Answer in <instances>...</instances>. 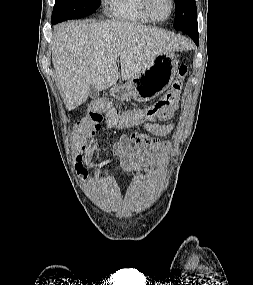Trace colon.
<instances>
[{"instance_id": "colon-1", "label": "colon", "mask_w": 253, "mask_h": 285, "mask_svg": "<svg viewBox=\"0 0 253 285\" xmlns=\"http://www.w3.org/2000/svg\"><path fill=\"white\" fill-rule=\"evenodd\" d=\"M188 67L181 65L178 69V74L174 79L171 88L165 96L145 109H134L120 113L110 104L104 101H96L90 105L88 114L81 120L79 126H75L72 130L74 134V147L77 150H72L69 154L70 158H75L74 162L77 167H74L75 176H88V172L96 165L93 155L94 141L98 137V131L103 120L112 127H130L141 124L147 120L160 118L162 112L169 107L180 94L183 81L187 75Z\"/></svg>"}]
</instances>
